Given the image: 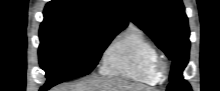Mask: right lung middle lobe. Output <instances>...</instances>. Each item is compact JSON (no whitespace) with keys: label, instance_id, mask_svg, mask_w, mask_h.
Listing matches in <instances>:
<instances>
[{"label":"right lung middle lobe","instance_id":"right-lung-middle-lobe-1","mask_svg":"<svg viewBox=\"0 0 220 91\" xmlns=\"http://www.w3.org/2000/svg\"><path fill=\"white\" fill-rule=\"evenodd\" d=\"M119 32L82 25H41L39 61L47 77L44 87L89 74Z\"/></svg>","mask_w":220,"mask_h":91}]
</instances>
